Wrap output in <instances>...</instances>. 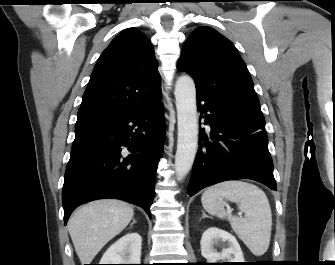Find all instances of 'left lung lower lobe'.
Listing matches in <instances>:
<instances>
[{
    "mask_svg": "<svg viewBox=\"0 0 335 265\" xmlns=\"http://www.w3.org/2000/svg\"><path fill=\"white\" fill-rule=\"evenodd\" d=\"M196 97L201 116L208 112L204 118L211 132L207 134L200 128V148L192 167L188 194L192 196L222 181L246 178L276 190L265 122L200 93Z\"/></svg>",
    "mask_w": 335,
    "mask_h": 265,
    "instance_id": "0a47b994",
    "label": "left lung lower lobe"
}]
</instances>
